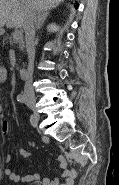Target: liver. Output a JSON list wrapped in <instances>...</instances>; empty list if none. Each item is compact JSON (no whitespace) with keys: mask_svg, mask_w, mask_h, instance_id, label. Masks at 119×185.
<instances>
[{"mask_svg":"<svg viewBox=\"0 0 119 185\" xmlns=\"http://www.w3.org/2000/svg\"><path fill=\"white\" fill-rule=\"evenodd\" d=\"M30 3L34 10H50L63 0H0V28L23 26L25 3Z\"/></svg>","mask_w":119,"mask_h":185,"instance_id":"6515ba94","label":"liver"}]
</instances>
